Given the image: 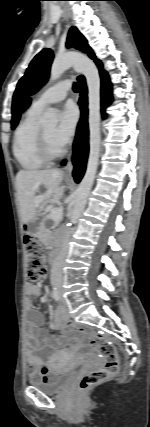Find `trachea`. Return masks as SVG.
<instances>
[{"label": "trachea", "instance_id": "trachea-1", "mask_svg": "<svg viewBox=\"0 0 150 427\" xmlns=\"http://www.w3.org/2000/svg\"><path fill=\"white\" fill-rule=\"evenodd\" d=\"M79 89H80V87H79L78 83L74 82V84H73V90H74L75 92H78V91H79Z\"/></svg>", "mask_w": 150, "mask_h": 427}]
</instances>
